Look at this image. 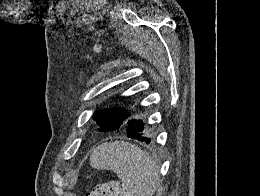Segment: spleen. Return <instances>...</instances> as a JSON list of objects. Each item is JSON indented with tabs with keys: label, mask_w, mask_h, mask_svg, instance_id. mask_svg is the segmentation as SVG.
I'll return each instance as SVG.
<instances>
[{
	"label": "spleen",
	"mask_w": 260,
	"mask_h": 196,
	"mask_svg": "<svg viewBox=\"0 0 260 196\" xmlns=\"http://www.w3.org/2000/svg\"><path fill=\"white\" fill-rule=\"evenodd\" d=\"M90 166L95 170H112L137 196H154L160 184L159 166L130 142H104L93 150Z\"/></svg>",
	"instance_id": "obj_1"
}]
</instances>
